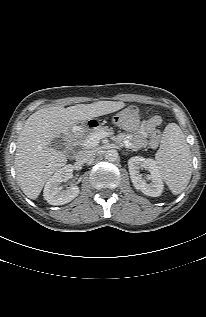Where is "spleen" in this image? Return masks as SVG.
<instances>
[{"label":"spleen","instance_id":"3e777b00","mask_svg":"<svg viewBox=\"0 0 206 317\" xmlns=\"http://www.w3.org/2000/svg\"><path fill=\"white\" fill-rule=\"evenodd\" d=\"M155 159L161 177L171 192L180 194L190 181L192 162L185 135L176 123L165 127Z\"/></svg>","mask_w":206,"mask_h":317}]
</instances>
